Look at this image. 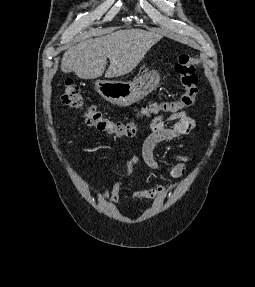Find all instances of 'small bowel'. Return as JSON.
<instances>
[{"label":"small bowel","instance_id":"small-bowel-1","mask_svg":"<svg viewBox=\"0 0 255 287\" xmlns=\"http://www.w3.org/2000/svg\"><path fill=\"white\" fill-rule=\"evenodd\" d=\"M167 122L172 125L168 126ZM195 121L184 112L173 113L171 115H157L151 123V133L145 138L141 154L144 162L154 171L166 174L172 178L181 177L186 171V163L191 157L184 155H175L176 164L165 166L155 157V148L158 144L166 141L179 139L189 135L195 128ZM126 179L125 172H120L119 177L110 190H106L104 197L112 204L119 201L120 187ZM176 187V184L170 186L157 185L147 190L137 191L133 194L135 201L147 202L158 198L165 197L170 191Z\"/></svg>","mask_w":255,"mask_h":287}]
</instances>
